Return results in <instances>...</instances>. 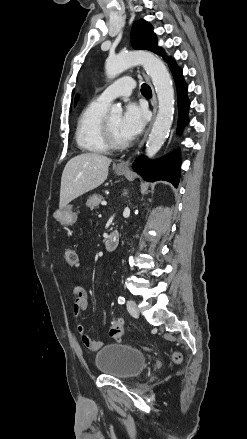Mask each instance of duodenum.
<instances>
[{
	"label": "duodenum",
	"instance_id": "duodenum-1",
	"mask_svg": "<svg viewBox=\"0 0 247 439\" xmlns=\"http://www.w3.org/2000/svg\"><path fill=\"white\" fill-rule=\"evenodd\" d=\"M120 241V235L117 231L111 232L105 239V248L107 251H114Z\"/></svg>",
	"mask_w": 247,
	"mask_h": 439
}]
</instances>
